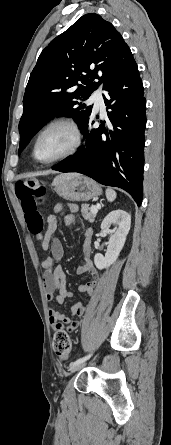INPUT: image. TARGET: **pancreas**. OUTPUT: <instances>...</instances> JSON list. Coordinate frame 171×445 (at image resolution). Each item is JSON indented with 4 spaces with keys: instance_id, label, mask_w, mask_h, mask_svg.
I'll list each match as a JSON object with an SVG mask.
<instances>
[{
    "instance_id": "pancreas-1",
    "label": "pancreas",
    "mask_w": 171,
    "mask_h": 445,
    "mask_svg": "<svg viewBox=\"0 0 171 445\" xmlns=\"http://www.w3.org/2000/svg\"><path fill=\"white\" fill-rule=\"evenodd\" d=\"M81 211L85 219L89 220L90 222L94 221L96 214L91 212V209L89 208L88 204H83Z\"/></svg>"
}]
</instances>
